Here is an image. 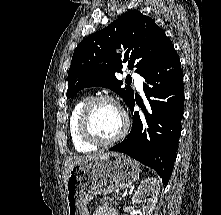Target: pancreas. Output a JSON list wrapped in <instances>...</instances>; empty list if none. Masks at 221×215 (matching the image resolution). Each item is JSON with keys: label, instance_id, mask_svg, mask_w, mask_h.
Wrapping results in <instances>:
<instances>
[{"label": "pancreas", "instance_id": "obj_1", "mask_svg": "<svg viewBox=\"0 0 221 215\" xmlns=\"http://www.w3.org/2000/svg\"><path fill=\"white\" fill-rule=\"evenodd\" d=\"M118 200H120V199L115 194H113L112 197L104 196V197L98 199L100 204L106 205V206L112 205V204L118 205V202H117Z\"/></svg>", "mask_w": 221, "mask_h": 215}]
</instances>
